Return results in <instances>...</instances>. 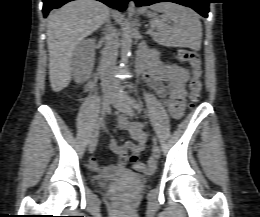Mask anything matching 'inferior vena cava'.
<instances>
[{"mask_svg":"<svg viewBox=\"0 0 260 217\" xmlns=\"http://www.w3.org/2000/svg\"><path fill=\"white\" fill-rule=\"evenodd\" d=\"M105 30L106 43L102 53L100 74L102 85L107 87L116 84L113 72L116 65L119 43L118 32L114 27L109 26Z\"/></svg>","mask_w":260,"mask_h":217,"instance_id":"1","label":"inferior vena cava"}]
</instances>
